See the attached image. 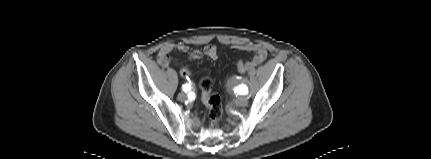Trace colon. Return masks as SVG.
<instances>
[{"mask_svg": "<svg viewBox=\"0 0 431 159\" xmlns=\"http://www.w3.org/2000/svg\"><path fill=\"white\" fill-rule=\"evenodd\" d=\"M236 66L238 67V75L244 77L247 71L244 67V61L242 58L236 59ZM180 77L183 80H188L191 77L190 67L188 65L180 66ZM200 90L202 101L207 109L208 118L211 125H216L222 117L223 108L222 101L219 95L213 94L212 81L209 78H203L200 81Z\"/></svg>", "mask_w": 431, "mask_h": 159, "instance_id": "5ec220e1", "label": "colon"}]
</instances>
